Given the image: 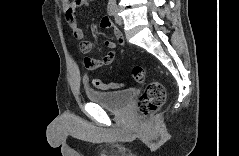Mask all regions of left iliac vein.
Listing matches in <instances>:
<instances>
[{"label":"left iliac vein","mask_w":239,"mask_h":156,"mask_svg":"<svg viewBox=\"0 0 239 156\" xmlns=\"http://www.w3.org/2000/svg\"><path fill=\"white\" fill-rule=\"evenodd\" d=\"M114 18H115V22L118 25L122 24V18L118 15V8H116V10H115Z\"/></svg>","instance_id":"left-iliac-vein-1"}]
</instances>
